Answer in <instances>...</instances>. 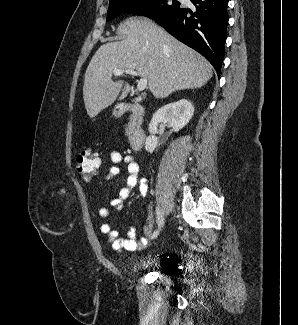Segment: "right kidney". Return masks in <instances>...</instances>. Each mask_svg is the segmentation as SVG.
I'll use <instances>...</instances> for the list:
<instances>
[{
  "mask_svg": "<svg viewBox=\"0 0 298 325\" xmlns=\"http://www.w3.org/2000/svg\"><path fill=\"white\" fill-rule=\"evenodd\" d=\"M194 112V106L187 98H180L176 102H169L164 104L161 108H158L154 112L148 130L150 132L145 140V150L153 152L158 144V136L156 132L158 130L159 122H168L172 126L174 132H178L180 128L188 124L190 118H192Z\"/></svg>",
  "mask_w": 298,
  "mask_h": 325,
  "instance_id": "obj_1",
  "label": "right kidney"
}]
</instances>
